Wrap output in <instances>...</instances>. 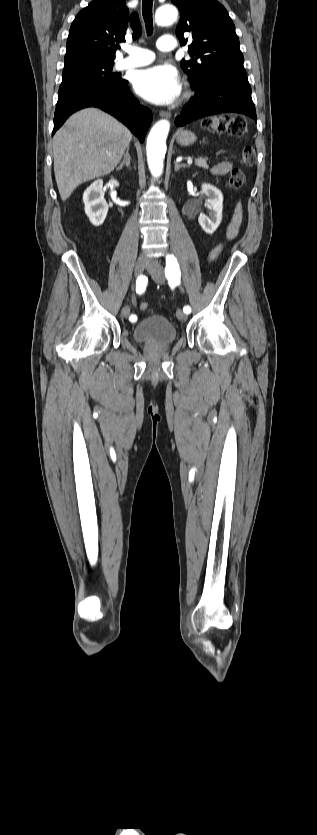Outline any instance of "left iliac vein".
<instances>
[{
	"label": "left iliac vein",
	"instance_id": "1",
	"mask_svg": "<svg viewBox=\"0 0 317 835\" xmlns=\"http://www.w3.org/2000/svg\"><path fill=\"white\" fill-rule=\"evenodd\" d=\"M147 270L156 283H165L163 267L158 261L154 259L149 260ZM176 316L181 321H185L187 319V314L182 310H177Z\"/></svg>",
	"mask_w": 317,
	"mask_h": 835
}]
</instances>
